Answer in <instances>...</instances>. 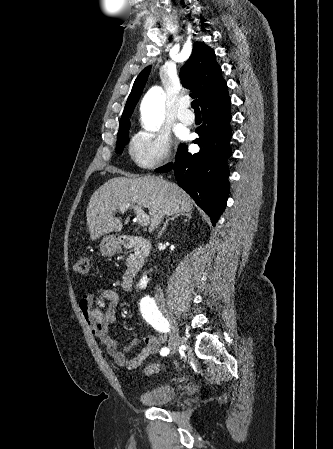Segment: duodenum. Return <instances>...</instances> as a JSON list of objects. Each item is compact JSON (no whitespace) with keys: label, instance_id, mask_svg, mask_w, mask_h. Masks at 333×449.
<instances>
[{"label":"duodenum","instance_id":"410a0bca","mask_svg":"<svg viewBox=\"0 0 333 449\" xmlns=\"http://www.w3.org/2000/svg\"><path fill=\"white\" fill-rule=\"evenodd\" d=\"M119 243L122 247L132 249L135 253V259L126 270L122 280L123 288L130 290L133 287L137 274L143 267L145 258L150 252L151 245L147 239L138 236H122L119 238Z\"/></svg>","mask_w":333,"mask_h":449}]
</instances>
